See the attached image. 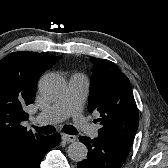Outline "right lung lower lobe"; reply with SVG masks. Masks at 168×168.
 <instances>
[{
    "label": "right lung lower lobe",
    "mask_w": 168,
    "mask_h": 168,
    "mask_svg": "<svg viewBox=\"0 0 168 168\" xmlns=\"http://www.w3.org/2000/svg\"><path fill=\"white\" fill-rule=\"evenodd\" d=\"M60 141L58 134L44 136L40 141L30 144L17 155L10 168H39L45 153L55 147Z\"/></svg>",
    "instance_id": "obj_1"
}]
</instances>
